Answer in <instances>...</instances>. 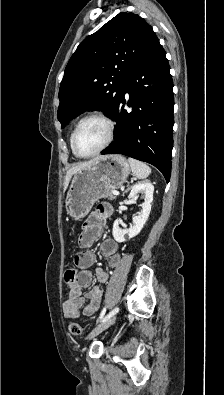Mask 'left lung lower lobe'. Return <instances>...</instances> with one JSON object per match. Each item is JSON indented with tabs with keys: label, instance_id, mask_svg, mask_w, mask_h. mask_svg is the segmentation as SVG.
I'll return each mask as SVG.
<instances>
[{
	"label": "left lung lower lobe",
	"instance_id": "1",
	"mask_svg": "<svg viewBox=\"0 0 224 395\" xmlns=\"http://www.w3.org/2000/svg\"><path fill=\"white\" fill-rule=\"evenodd\" d=\"M129 94L124 110V95ZM111 119L115 141L102 154H123L157 167L167 182L173 148V82L166 52L157 40L128 76Z\"/></svg>",
	"mask_w": 224,
	"mask_h": 395
}]
</instances>
